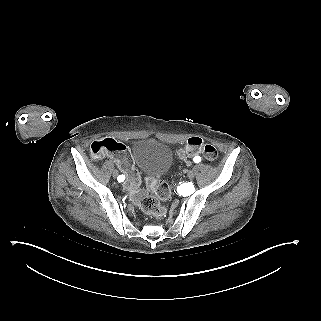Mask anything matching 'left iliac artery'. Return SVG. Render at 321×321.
<instances>
[{"label": "left iliac artery", "instance_id": "obj_1", "mask_svg": "<svg viewBox=\"0 0 321 321\" xmlns=\"http://www.w3.org/2000/svg\"><path fill=\"white\" fill-rule=\"evenodd\" d=\"M200 161H201V158H200V157H195V158H194V162H195V163H199Z\"/></svg>", "mask_w": 321, "mask_h": 321}]
</instances>
